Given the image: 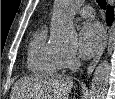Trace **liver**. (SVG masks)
Masks as SVG:
<instances>
[{
  "label": "liver",
  "mask_w": 115,
  "mask_h": 99,
  "mask_svg": "<svg viewBox=\"0 0 115 99\" xmlns=\"http://www.w3.org/2000/svg\"><path fill=\"white\" fill-rule=\"evenodd\" d=\"M73 80L68 76L25 77L14 84L15 99H69Z\"/></svg>",
  "instance_id": "liver-1"
}]
</instances>
